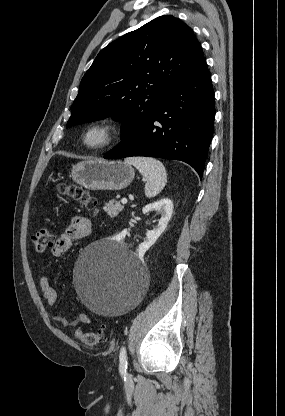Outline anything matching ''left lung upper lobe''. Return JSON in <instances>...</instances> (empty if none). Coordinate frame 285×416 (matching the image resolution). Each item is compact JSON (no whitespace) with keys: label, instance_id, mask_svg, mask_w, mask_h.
<instances>
[{"label":"left lung upper lobe","instance_id":"obj_1","mask_svg":"<svg viewBox=\"0 0 285 416\" xmlns=\"http://www.w3.org/2000/svg\"><path fill=\"white\" fill-rule=\"evenodd\" d=\"M204 58L192 29L157 17L110 43L81 80L66 127L111 116L121 138L145 122Z\"/></svg>","mask_w":285,"mask_h":416}]
</instances>
